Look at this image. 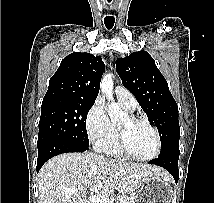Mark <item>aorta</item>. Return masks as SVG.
I'll list each match as a JSON object with an SVG mask.
<instances>
[{"label":"aorta","instance_id":"aorta-1","mask_svg":"<svg viewBox=\"0 0 214 203\" xmlns=\"http://www.w3.org/2000/svg\"><path fill=\"white\" fill-rule=\"evenodd\" d=\"M100 89L103 94L111 101L107 112L111 118V121H118L124 117V113L113 98V74L108 73L102 77Z\"/></svg>","mask_w":214,"mask_h":203}]
</instances>
